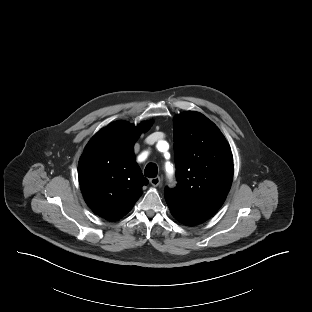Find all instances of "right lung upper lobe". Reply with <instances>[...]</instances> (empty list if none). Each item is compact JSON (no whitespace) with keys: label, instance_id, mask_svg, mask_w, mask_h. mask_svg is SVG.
Returning <instances> with one entry per match:
<instances>
[{"label":"right lung upper lobe","instance_id":"1","mask_svg":"<svg viewBox=\"0 0 312 312\" xmlns=\"http://www.w3.org/2000/svg\"><path fill=\"white\" fill-rule=\"evenodd\" d=\"M151 126V122L134 126L117 121L86 145L78 164L79 183L87 205L97 215L118 220L142 195L148 180L135 162L133 145Z\"/></svg>","mask_w":312,"mask_h":312}]
</instances>
